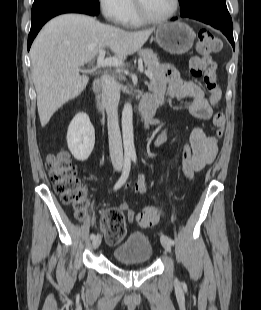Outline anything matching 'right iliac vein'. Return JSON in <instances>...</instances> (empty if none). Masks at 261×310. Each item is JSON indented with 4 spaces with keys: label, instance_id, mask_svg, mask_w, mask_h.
I'll return each instance as SVG.
<instances>
[{
    "label": "right iliac vein",
    "instance_id": "obj_1",
    "mask_svg": "<svg viewBox=\"0 0 261 310\" xmlns=\"http://www.w3.org/2000/svg\"><path fill=\"white\" fill-rule=\"evenodd\" d=\"M100 244H101V236L97 235L92 241L93 249H97L100 246Z\"/></svg>",
    "mask_w": 261,
    "mask_h": 310
}]
</instances>
